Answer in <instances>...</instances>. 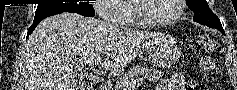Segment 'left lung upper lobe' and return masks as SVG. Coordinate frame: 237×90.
Returning <instances> with one entry per match:
<instances>
[{
	"instance_id": "1",
	"label": "left lung upper lobe",
	"mask_w": 237,
	"mask_h": 90,
	"mask_svg": "<svg viewBox=\"0 0 237 90\" xmlns=\"http://www.w3.org/2000/svg\"><path fill=\"white\" fill-rule=\"evenodd\" d=\"M188 7L195 13L193 20L224 32L219 18L211 11L206 0H186Z\"/></svg>"
}]
</instances>
